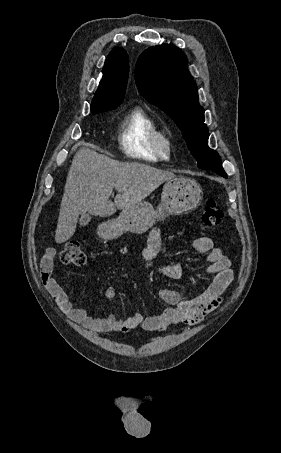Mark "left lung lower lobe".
Returning <instances> with one entry per match:
<instances>
[{
  "label": "left lung lower lobe",
  "instance_id": "left-lung-lower-lobe-1",
  "mask_svg": "<svg viewBox=\"0 0 281 453\" xmlns=\"http://www.w3.org/2000/svg\"><path fill=\"white\" fill-rule=\"evenodd\" d=\"M217 174L220 175V176H223V177L227 178V174L225 173V171H224V172H219V173H217Z\"/></svg>",
  "mask_w": 281,
  "mask_h": 453
}]
</instances>
